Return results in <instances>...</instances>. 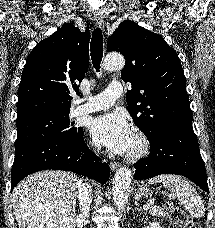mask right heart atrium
<instances>
[{"instance_id":"d8ad5b80","label":"right heart atrium","mask_w":215,"mask_h":228,"mask_svg":"<svg viewBox=\"0 0 215 228\" xmlns=\"http://www.w3.org/2000/svg\"><path fill=\"white\" fill-rule=\"evenodd\" d=\"M90 151L94 154V155H98L99 152H100V148L95 145V144H92L91 147H90Z\"/></svg>"}]
</instances>
